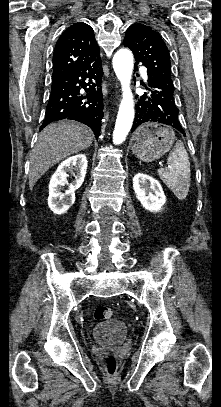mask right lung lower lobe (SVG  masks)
I'll return each instance as SVG.
<instances>
[{"mask_svg":"<svg viewBox=\"0 0 221 407\" xmlns=\"http://www.w3.org/2000/svg\"><path fill=\"white\" fill-rule=\"evenodd\" d=\"M101 58L92 60L52 79L42 130L51 122L76 120L89 126L98 139L103 117Z\"/></svg>","mask_w":221,"mask_h":407,"instance_id":"right-lung-lower-lobe-1","label":"right lung lower lobe"}]
</instances>
